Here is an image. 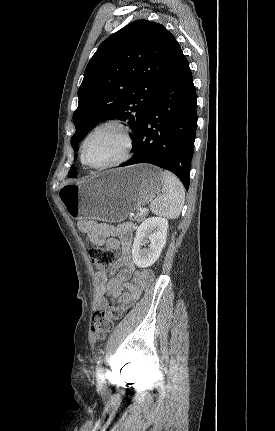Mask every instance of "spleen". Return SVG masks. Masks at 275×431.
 Here are the masks:
<instances>
[{
  "label": "spleen",
  "instance_id": "3e777b00",
  "mask_svg": "<svg viewBox=\"0 0 275 431\" xmlns=\"http://www.w3.org/2000/svg\"><path fill=\"white\" fill-rule=\"evenodd\" d=\"M162 176V194L151 202L150 209L154 214L175 219L183 208L185 190L180 180L171 172L164 171Z\"/></svg>",
  "mask_w": 275,
  "mask_h": 431
}]
</instances>
